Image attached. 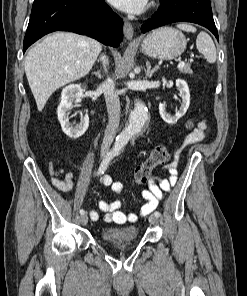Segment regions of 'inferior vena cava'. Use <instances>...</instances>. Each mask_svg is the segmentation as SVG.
Segmentation results:
<instances>
[{
    "label": "inferior vena cava",
    "mask_w": 247,
    "mask_h": 296,
    "mask_svg": "<svg viewBox=\"0 0 247 296\" xmlns=\"http://www.w3.org/2000/svg\"><path fill=\"white\" fill-rule=\"evenodd\" d=\"M101 60L105 65L108 63V60L104 55L101 56ZM104 90V97L107 106L108 112V125L104 132L103 142L101 145V151L106 152L109 150L113 139L116 135V130L120 122V100L118 94L115 90V83L112 79L107 78L101 85Z\"/></svg>",
    "instance_id": "602c4592"
}]
</instances>
